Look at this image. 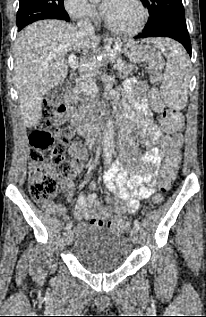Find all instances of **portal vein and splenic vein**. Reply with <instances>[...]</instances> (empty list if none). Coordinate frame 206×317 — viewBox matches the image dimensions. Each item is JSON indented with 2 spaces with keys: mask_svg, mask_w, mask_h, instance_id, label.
<instances>
[{
  "mask_svg": "<svg viewBox=\"0 0 206 317\" xmlns=\"http://www.w3.org/2000/svg\"><path fill=\"white\" fill-rule=\"evenodd\" d=\"M68 65L73 68L77 65V57L74 54L69 55L68 57ZM92 65V63H84L83 67L88 68ZM123 66L122 63H117L114 65V69H120ZM79 86L82 90L89 94L95 95L98 91L97 85L92 81H82L79 83Z\"/></svg>",
  "mask_w": 206,
  "mask_h": 317,
  "instance_id": "1",
  "label": "portal vein and splenic vein"
}]
</instances>
